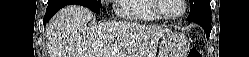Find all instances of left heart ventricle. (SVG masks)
Returning <instances> with one entry per match:
<instances>
[{
    "mask_svg": "<svg viewBox=\"0 0 249 57\" xmlns=\"http://www.w3.org/2000/svg\"><path fill=\"white\" fill-rule=\"evenodd\" d=\"M182 9L180 0H163L162 12L166 15L178 14Z\"/></svg>",
    "mask_w": 249,
    "mask_h": 57,
    "instance_id": "left-heart-ventricle-1",
    "label": "left heart ventricle"
}]
</instances>
